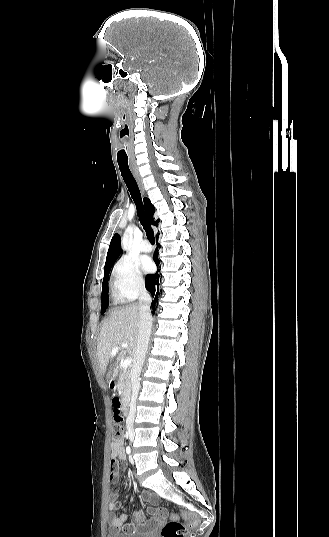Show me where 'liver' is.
<instances>
[{"label":"liver","mask_w":329,"mask_h":537,"mask_svg":"<svg viewBox=\"0 0 329 537\" xmlns=\"http://www.w3.org/2000/svg\"><path fill=\"white\" fill-rule=\"evenodd\" d=\"M140 311L137 305H128L112 311L110 317L104 321L98 337L97 357L100 370L106 373V379H114L118 374L119 361L127 354L134 358L139 333ZM122 343H128V349L123 348L113 363L111 351ZM110 367V369H109Z\"/></svg>","instance_id":"obj_1"}]
</instances>
